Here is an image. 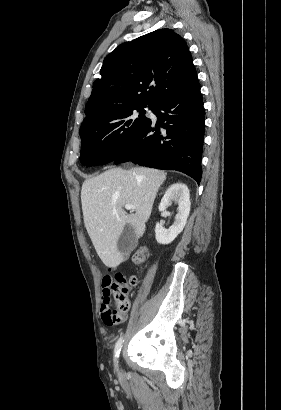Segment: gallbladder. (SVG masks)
I'll list each match as a JSON object with an SVG mask.
<instances>
[{
  "label": "gallbladder",
  "mask_w": 281,
  "mask_h": 410,
  "mask_svg": "<svg viewBox=\"0 0 281 410\" xmlns=\"http://www.w3.org/2000/svg\"><path fill=\"white\" fill-rule=\"evenodd\" d=\"M136 243L137 238L133 227L129 224L125 225L124 230L117 242V248L119 252L122 253L124 258L128 256L130 251L135 247Z\"/></svg>",
  "instance_id": "bac80fb5"
}]
</instances>
